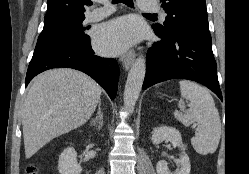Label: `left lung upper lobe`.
I'll return each instance as SVG.
<instances>
[{"mask_svg":"<svg viewBox=\"0 0 249 174\" xmlns=\"http://www.w3.org/2000/svg\"><path fill=\"white\" fill-rule=\"evenodd\" d=\"M167 13L164 25L154 32L171 39L186 35H210L205 0H161Z\"/></svg>","mask_w":249,"mask_h":174,"instance_id":"obj_1","label":"left lung upper lobe"}]
</instances>
